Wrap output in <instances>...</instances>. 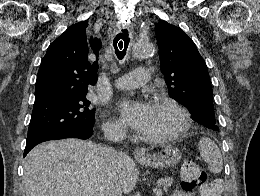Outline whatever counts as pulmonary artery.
<instances>
[{
    "label": "pulmonary artery",
    "instance_id": "obj_1",
    "mask_svg": "<svg viewBox=\"0 0 260 196\" xmlns=\"http://www.w3.org/2000/svg\"><path fill=\"white\" fill-rule=\"evenodd\" d=\"M149 77L151 72L148 69H132V72H127L126 76H118L113 80L114 84H149ZM122 90H137V85H122L117 86Z\"/></svg>",
    "mask_w": 260,
    "mask_h": 196
}]
</instances>
